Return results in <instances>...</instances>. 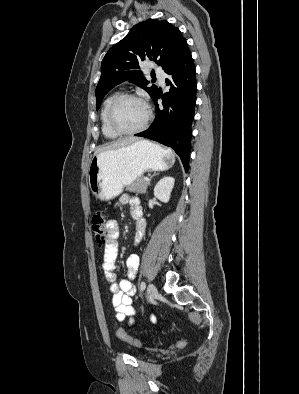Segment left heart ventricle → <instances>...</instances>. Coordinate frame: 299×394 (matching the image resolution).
I'll use <instances>...</instances> for the list:
<instances>
[{
	"mask_svg": "<svg viewBox=\"0 0 299 394\" xmlns=\"http://www.w3.org/2000/svg\"><path fill=\"white\" fill-rule=\"evenodd\" d=\"M146 117L145 106L137 100H124L116 108L114 122L122 130H132L140 126Z\"/></svg>",
	"mask_w": 299,
	"mask_h": 394,
	"instance_id": "left-heart-ventricle-1",
	"label": "left heart ventricle"
}]
</instances>
